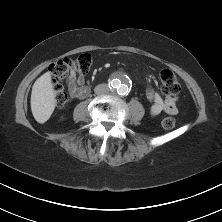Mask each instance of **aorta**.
<instances>
[{
    "instance_id": "obj_1",
    "label": "aorta",
    "mask_w": 222,
    "mask_h": 222,
    "mask_svg": "<svg viewBox=\"0 0 222 222\" xmlns=\"http://www.w3.org/2000/svg\"><path fill=\"white\" fill-rule=\"evenodd\" d=\"M110 86L119 95H126L130 91V80L127 75L120 74L110 81Z\"/></svg>"
}]
</instances>
